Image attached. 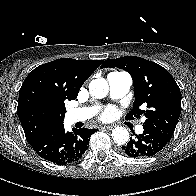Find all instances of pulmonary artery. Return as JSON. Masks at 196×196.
Returning a JSON list of instances; mask_svg holds the SVG:
<instances>
[{"instance_id":"e3ab8cb5","label":"pulmonary artery","mask_w":196,"mask_h":196,"mask_svg":"<svg viewBox=\"0 0 196 196\" xmlns=\"http://www.w3.org/2000/svg\"><path fill=\"white\" fill-rule=\"evenodd\" d=\"M109 85L110 96L113 99H118L126 95L131 87L132 78L126 72H111L107 76ZM97 108L96 107H81L75 108L68 112L67 116L70 122H81L91 118ZM138 133L143 132V126L138 125L136 127Z\"/></svg>"}]
</instances>
